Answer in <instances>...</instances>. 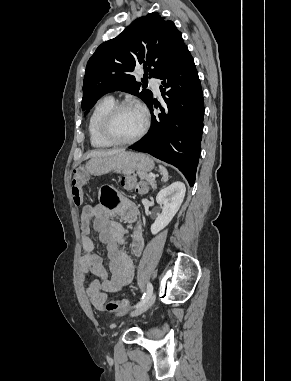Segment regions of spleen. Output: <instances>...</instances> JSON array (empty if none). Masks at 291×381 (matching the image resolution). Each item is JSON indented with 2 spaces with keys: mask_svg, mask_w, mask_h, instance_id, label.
I'll return each instance as SVG.
<instances>
[{
  "mask_svg": "<svg viewBox=\"0 0 291 381\" xmlns=\"http://www.w3.org/2000/svg\"><path fill=\"white\" fill-rule=\"evenodd\" d=\"M159 169H160V173L162 175V180L164 182H166L168 180V171L165 167H163L162 165L159 166Z\"/></svg>",
  "mask_w": 291,
  "mask_h": 381,
  "instance_id": "obj_1",
  "label": "spleen"
}]
</instances>
